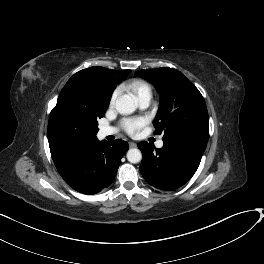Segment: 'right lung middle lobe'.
Listing matches in <instances>:
<instances>
[{"mask_svg": "<svg viewBox=\"0 0 264 264\" xmlns=\"http://www.w3.org/2000/svg\"><path fill=\"white\" fill-rule=\"evenodd\" d=\"M109 103L96 100H69L59 112L63 127L70 133L81 131L98 132L97 119L103 117Z\"/></svg>", "mask_w": 264, "mask_h": 264, "instance_id": "right-lung-middle-lobe-1", "label": "right lung middle lobe"}]
</instances>
